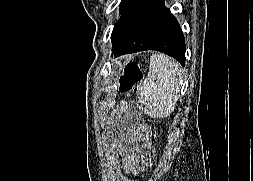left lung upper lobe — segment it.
<instances>
[{
	"mask_svg": "<svg viewBox=\"0 0 253 181\" xmlns=\"http://www.w3.org/2000/svg\"><path fill=\"white\" fill-rule=\"evenodd\" d=\"M133 0H122L120 3V12L123 13V11L127 8V6L132 2Z\"/></svg>",
	"mask_w": 253,
	"mask_h": 181,
	"instance_id": "1",
	"label": "left lung upper lobe"
}]
</instances>
